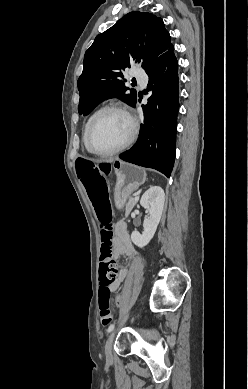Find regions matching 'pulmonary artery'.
I'll list each match as a JSON object with an SVG mask.
<instances>
[{
  "label": "pulmonary artery",
  "mask_w": 248,
  "mask_h": 389,
  "mask_svg": "<svg viewBox=\"0 0 248 389\" xmlns=\"http://www.w3.org/2000/svg\"><path fill=\"white\" fill-rule=\"evenodd\" d=\"M135 78H136V80H137L139 83H141V84H143V85H145V84L147 83V81H148L147 76H146V75H143V74H136V75H135Z\"/></svg>",
  "instance_id": "1"
}]
</instances>
